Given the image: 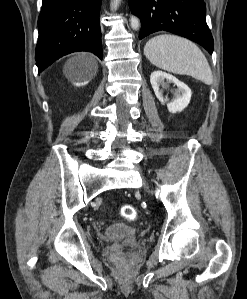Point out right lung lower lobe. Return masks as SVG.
Returning <instances> with one entry per match:
<instances>
[{"mask_svg":"<svg viewBox=\"0 0 247 299\" xmlns=\"http://www.w3.org/2000/svg\"><path fill=\"white\" fill-rule=\"evenodd\" d=\"M102 0H43L38 18L36 65L43 71L60 57L90 51L102 59Z\"/></svg>","mask_w":247,"mask_h":299,"instance_id":"obj_1","label":"right lung lower lobe"}]
</instances>
